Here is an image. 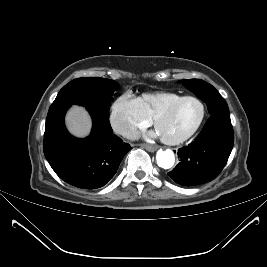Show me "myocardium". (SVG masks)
<instances>
[{
    "mask_svg": "<svg viewBox=\"0 0 267 267\" xmlns=\"http://www.w3.org/2000/svg\"><path fill=\"white\" fill-rule=\"evenodd\" d=\"M188 100H194L197 101L200 106H201V114L200 117L198 119V121L196 122V124L184 135L177 137V138H166V137H162L161 136V140L168 145H178L181 144L185 141H187L188 139H190L200 128V126L202 125L205 116H206V105L205 103L197 96H183L182 98L176 100L175 102L169 104L168 106H166L165 108L161 109L160 111H158L154 117H153V125L156 128L157 124L159 122V120L161 118H163L164 116L170 114L173 110H175L179 105H181L183 102L188 101Z\"/></svg>",
    "mask_w": 267,
    "mask_h": 267,
    "instance_id": "1",
    "label": "myocardium"
}]
</instances>
